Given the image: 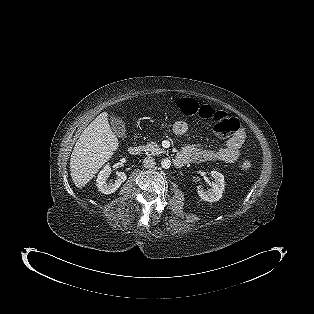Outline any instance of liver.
I'll list each match as a JSON object with an SVG mask.
<instances>
[{
    "label": "liver",
    "mask_w": 314,
    "mask_h": 314,
    "mask_svg": "<svg viewBox=\"0 0 314 314\" xmlns=\"http://www.w3.org/2000/svg\"><path fill=\"white\" fill-rule=\"evenodd\" d=\"M107 117L106 112L98 115L85 128L73 148L70 172L78 188L84 187L119 147Z\"/></svg>",
    "instance_id": "6515ba94"
}]
</instances>
